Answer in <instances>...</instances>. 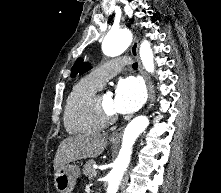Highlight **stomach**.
<instances>
[{
	"label": "stomach",
	"instance_id": "1",
	"mask_svg": "<svg viewBox=\"0 0 221 193\" xmlns=\"http://www.w3.org/2000/svg\"><path fill=\"white\" fill-rule=\"evenodd\" d=\"M112 143H115L112 141ZM80 176V169L76 165L66 164L56 170L54 182L59 193H71L76 185V180Z\"/></svg>",
	"mask_w": 221,
	"mask_h": 193
}]
</instances>
